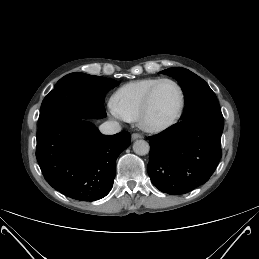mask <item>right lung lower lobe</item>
Returning a JSON list of instances; mask_svg holds the SVG:
<instances>
[{
  "label": "right lung lower lobe",
  "instance_id": "98d812e1",
  "mask_svg": "<svg viewBox=\"0 0 259 259\" xmlns=\"http://www.w3.org/2000/svg\"><path fill=\"white\" fill-rule=\"evenodd\" d=\"M36 157L45 180L79 201L105 197L113 186L116 159L130 145V133L103 135L90 122L72 114L38 124Z\"/></svg>",
  "mask_w": 259,
  "mask_h": 259
}]
</instances>
